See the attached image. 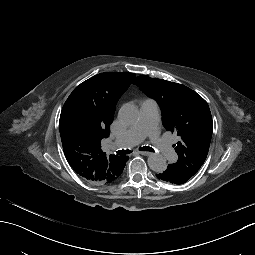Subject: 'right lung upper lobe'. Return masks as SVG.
Listing matches in <instances>:
<instances>
[{
	"label": "right lung upper lobe",
	"mask_w": 255,
	"mask_h": 255,
	"mask_svg": "<svg viewBox=\"0 0 255 255\" xmlns=\"http://www.w3.org/2000/svg\"><path fill=\"white\" fill-rule=\"evenodd\" d=\"M134 77L133 73L97 74L78 85L62 108L59 129L65 157L77 174L93 184L116 180L128 160L106 156L101 140L109 136L116 104Z\"/></svg>",
	"instance_id": "1"
}]
</instances>
